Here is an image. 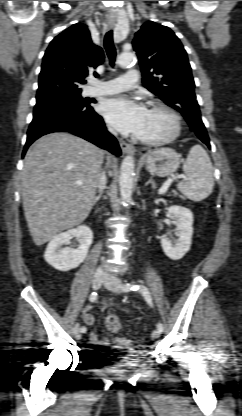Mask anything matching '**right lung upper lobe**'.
Segmentation results:
<instances>
[{"label": "right lung upper lobe", "mask_w": 242, "mask_h": 416, "mask_svg": "<svg viewBox=\"0 0 242 416\" xmlns=\"http://www.w3.org/2000/svg\"><path fill=\"white\" fill-rule=\"evenodd\" d=\"M103 60V50L92 43L87 26L72 25L56 36L45 52L37 96L49 95L60 88H79Z\"/></svg>", "instance_id": "right-lung-upper-lobe-1"}]
</instances>
